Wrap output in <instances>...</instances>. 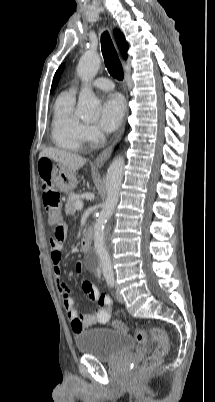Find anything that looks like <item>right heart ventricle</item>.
<instances>
[{
  "mask_svg": "<svg viewBox=\"0 0 215 402\" xmlns=\"http://www.w3.org/2000/svg\"><path fill=\"white\" fill-rule=\"evenodd\" d=\"M75 94L64 91L58 95L53 107L51 135L54 144L62 149L76 151L82 145L83 123L74 112Z\"/></svg>",
  "mask_w": 215,
  "mask_h": 402,
  "instance_id": "obj_1",
  "label": "right heart ventricle"
}]
</instances>
